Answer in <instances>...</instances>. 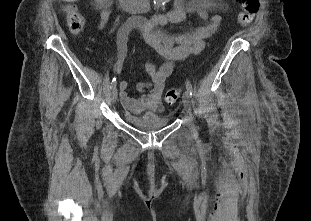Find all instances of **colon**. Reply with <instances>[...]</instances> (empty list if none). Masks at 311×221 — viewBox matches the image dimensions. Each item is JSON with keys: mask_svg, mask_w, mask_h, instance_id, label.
Here are the masks:
<instances>
[{"mask_svg": "<svg viewBox=\"0 0 311 221\" xmlns=\"http://www.w3.org/2000/svg\"><path fill=\"white\" fill-rule=\"evenodd\" d=\"M243 10L238 14V22L240 25H249L253 22L255 14L259 9V0H239ZM66 16V23L69 30L74 34L82 32L85 25L84 15L78 10L74 4L66 3L63 7ZM180 95L178 87L168 88L164 95L166 104H172L177 101Z\"/></svg>", "mask_w": 311, "mask_h": 221, "instance_id": "5ec220e1", "label": "colon"}]
</instances>
